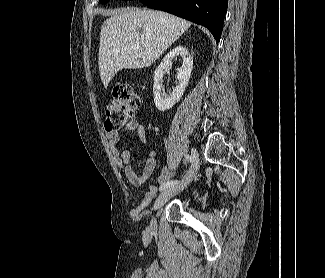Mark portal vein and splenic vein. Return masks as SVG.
I'll use <instances>...</instances> for the list:
<instances>
[{
	"instance_id": "18ae733b",
	"label": "portal vein and splenic vein",
	"mask_w": 325,
	"mask_h": 278,
	"mask_svg": "<svg viewBox=\"0 0 325 278\" xmlns=\"http://www.w3.org/2000/svg\"><path fill=\"white\" fill-rule=\"evenodd\" d=\"M133 47H134V48H138L139 46H138V45H134Z\"/></svg>"
}]
</instances>
